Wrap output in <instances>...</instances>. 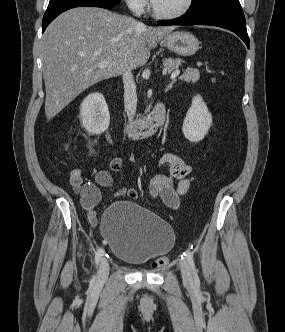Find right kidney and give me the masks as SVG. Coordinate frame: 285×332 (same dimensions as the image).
<instances>
[{"mask_svg": "<svg viewBox=\"0 0 285 332\" xmlns=\"http://www.w3.org/2000/svg\"><path fill=\"white\" fill-rule=\"evenodd\" d=\"M80 116L82 125L88 133L102 134L110 122V114L104 96L97 92L89 94L82 101Z\"/></svg>", "mask_w": 285, "mask_h": 332, "instance_id": "ca27d5eb", "label": "right kidney"}]
</instances>
